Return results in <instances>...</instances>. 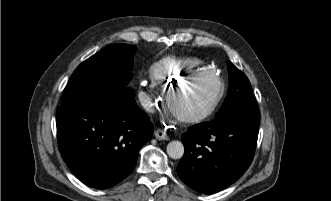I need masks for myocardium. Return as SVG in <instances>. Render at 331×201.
Masks as SVG:
<instances>
[{
	"label": "myocardium",
	"instance_id": "myocardium-1",
	"mask_svg": "<svg viewBox=\"0 0 331 201\" xmlns=\"http://www.w3.org/2000/svg\"><path fill=\"white\" fill-rule=\"evenodd\" d=\"M206 75H211L212 77L215 78L216 82L218 83V88L214 96L210 99V101L201 107L199 110L190 113V114H183L174 108L173 101H172V95L174 91L177 88H180L184 85L190 84ZM225 93V84L223 79L218 76L214 71H210L209 73H204V72H196L192 74L190 77H188L186 80L180 81L178 83H175L168 87L165 95V101L168 106V109L170 110L171 113H173L180 121L185 122V123H194L201 121L211 115L220 101L222 100L223 96Z\"/></svg>",
	"mask_w": 331,
	"mask_h": 201
}]
</instances>
